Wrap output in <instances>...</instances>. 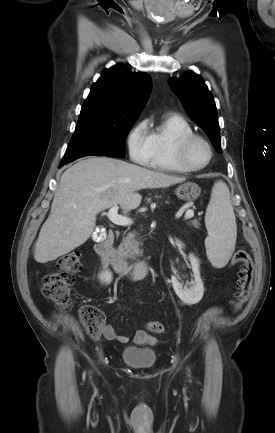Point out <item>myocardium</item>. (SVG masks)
Instances as JSON below:
<instances>
[{"label":"myocardium","instance_id":"f54148a6","mask_svg":"<svg viewBox=\"0 0 275 433\" xmlns=\"http://www.w3.org/2000/svg\"><path fill=\"white\" fill-rule=\"evenodd\" d=\"M197 141L202 142L207 147L209 152L208 160L205 163L200 165L193 164L188 158L189 148L194 142ZM213 155H214L213 147L209 142V140L204 136L196 133H192L190 135L182 137L177 142L176 149H175L176 161L178 165L186 171H198L206 168L212 162Z\"/></svg>","mask_w":275,"mask_h":433}]
</instances>
